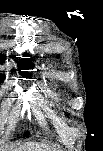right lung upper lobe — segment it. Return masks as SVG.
I'll list each match as a JSON object with an SVG mask.
<instances>
[{
  "label": "right lung upper lobe",
  "mask_w": 103,
  "mask_h": 151,
  "mask_svg": "<svg viewBox=\"0 0 103 151\" xmlns=\"http://www.w3.org/2000/svg\"><path fill=\"white\" fill-rule=\"evenodd\" d=\"M24 57H31V58H23V59L18 60L17 61V66H18L17 71H19L23 77L28 78V77H30V73H28L27 71H21V70H27V69L33 68L34 67L33 61H34L35 57L31 56L30 54H26V55H24ZM12 58H14V56H12ZM4 61H5L4 55L0 54V63L2 64ZM1 80H2V78H1Z\"/></svg>",
  "instance_id": "right-lung-upper-lobe-1"
}]
</instances>
